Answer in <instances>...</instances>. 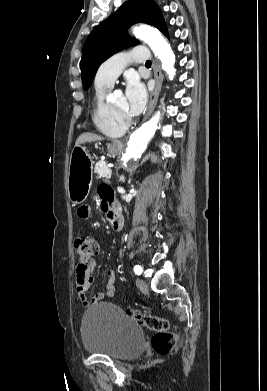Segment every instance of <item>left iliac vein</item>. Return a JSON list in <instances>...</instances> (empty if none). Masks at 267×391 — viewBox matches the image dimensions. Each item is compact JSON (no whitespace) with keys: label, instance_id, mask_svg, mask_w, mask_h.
Segmentation results:
<instances>
[{"label":"left iliac vein","instance_id":"4c4485c4","mask_svg":"<svg viewBox=\"0 0 267 391\" xmlns=\"http://www.w3.org/2000/svg\"><path fill=\"white\" fill-rule=\"evenodd\" d=\"M136 285H137V287H138L141 291H146V290H147V284H146V282H145L143 279H141V278H138V279L136 280Z\"/></svg>","mask_w":267,"mask_h":391}]
</instances>
